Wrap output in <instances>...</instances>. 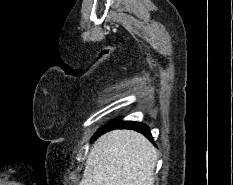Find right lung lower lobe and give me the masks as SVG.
<instances>
[{"label":"right lung lower lobe","mask_w":233,"mask_h":185,"mask_svg":"<svg viewBox=\"0 0 233 185\" xmlns=\"http://www.w3.org/2000/svg\"><path fill=\"white\" fill-rule=\"evenodd\" d=\"M113 129H132L144 134L150 141L153 142L149 127H147L145 124L132 121H121L119 119L109 123L104 128H102L99 131L98 136Z\"/></svg>","instance_id":"right-lung-lower-lobe-1"}]
</instances>
